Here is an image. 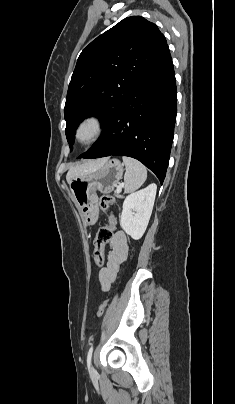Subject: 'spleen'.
<instances>
[{
    "instance_id": "3e777b00",
    "label": "spleen",
    "mask_w": 235,
    "mask_h": 404,
    "mask_svg": "<svg viewBox=\"0 0 235 404\" xmlns=\"http://www.w3.org/2000/svg\"><path fill=\"white\" fill-rule=\"evenodd\" d=\"M123 163L126 167L124 182L125 193H130L142 186L147 178L146 167L138 160L131 157H123Z\"/></svg>"
}]
</instances>
